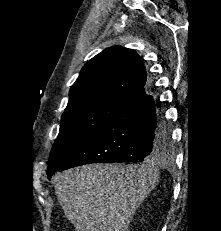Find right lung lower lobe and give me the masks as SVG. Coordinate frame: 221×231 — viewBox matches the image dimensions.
Instances as JSON below:
<instances>
[{"mask_svg":"<svg viewBox=\"0 0 221 231\" xmlns=\"http://www.w3.org/2000/svg\"><path fill=\"white\" fill-rule=\"evenodd\" d=\"M157 104L146 93L117 111L60 167L47 173L90 163L142 162L158 158L168 148L170 135Z\"/></svg>","mask_w":221,"mask_h":231,"instance_id":"1","label":"right lung lower lobe"}]
</instances>
